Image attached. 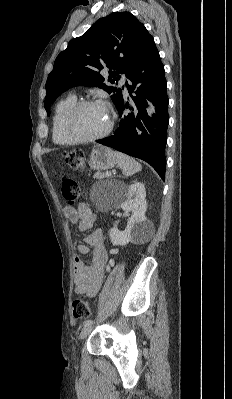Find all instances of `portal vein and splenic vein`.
Listing matches in <instances>:
<instances>
[{"instance_id": "18ae733b", "label": "portal vein and splenic vein", "mask_w": 232, "mask_h": 399, "mask_svg": "<svg viewBox=\"0 0 232 399\" xmlns=\"http://www.w3.org/2000/svg\"><path fill=\"white\" fill-rule=\"evenodd\" d=\"M106 176H111V174H108V172H107Z\"/></svg>"}]
</instances>
